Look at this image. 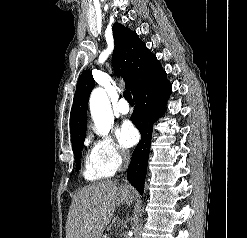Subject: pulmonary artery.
<instances>
[{"label": "pulmonary artery", "instance_id": "pulmonary-artery-1", "mask_svg": "<svg viewBox=\"0 0 247 238\" xmlns=\"http://www.w3.org/2000/svg\"><path fill=\"white\" fill-rule=\"evenodd\" d=\"M116 109L120 114L123 115L128 114L130 112V106L123 98L118 101Z\"/></svg>", "mask_w": 247, "mask_h": 238}]
</instances>
